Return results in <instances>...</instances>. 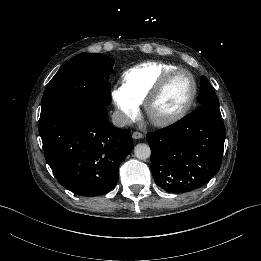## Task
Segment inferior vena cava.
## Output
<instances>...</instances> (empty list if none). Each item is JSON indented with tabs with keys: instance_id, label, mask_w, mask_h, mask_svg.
Instances as JSON below:
<instances>
[{
	"instance_id": "602c4592",
	"label": "inferior vena cava",
	"mask_w": 261,
	"mask_h": 261,
	"mask_svg": "<svg viewBox=\"0 0 261 261\" xmlns=\"http://www.w3.org/2000/svg\"><path fill=\"white\" fill-rule=\"evenodd\" d=\"M112 122L117 127H124L131 124L130 118L119 110L113 112Z\"/></svg>"
}]
</instances>
